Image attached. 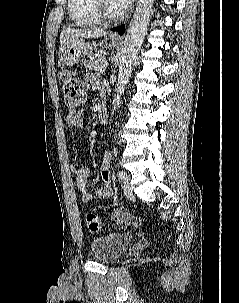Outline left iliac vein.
<instances>
[{"label": "left iliac vein", "mask_w": 239, "mask_h": 303, "mask_svg": "<svg viewBox=\"0 0 239 303\" xmlns=\"http://www.w3.org/2000/svg\"><path fill=\"white\" fill-rule=\"evenodd\" d=\"M122 189L127 197L133 196V190H132V186L130 184V178L125 173H124V177L122 179Z\"/></svg>", "instance_id": "1"}]
</instances>
